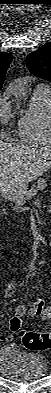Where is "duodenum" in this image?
I'll return each mask as SVG.
<instances>
[{"label": "duodenum", "instance_id": "duodenum-1", "mask_svg": "<svg viewBox=\"0 0 51 393\" xmlns=\"http://www.w3.org/2000/svg\"><path fill=\"white\" fill-rule=\"evenodd\" d=\"M5 198H6V199H9V195H8L7 193L5 194Z\"/></svg>", "mask_w": 51, "mask_h": 393}]
</instances>
